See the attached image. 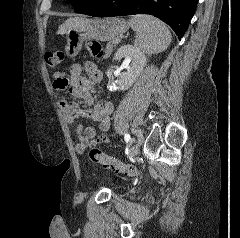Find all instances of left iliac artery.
Returning <instances> with one entry per match:
<instances>
[{"label":"left iliac artery","mask_w":240,"mask_h":238,"mask_svg":"<svg viewBox=\"0 0 240 238\" xmlns=\"http://www.w3.org/2000/svg\"><path fill=\"white\" fill-rule=\"evenodd\" d=\"M132 134H133V138H132V141H133V146L131 147L132 149L135 147V146H139L140 145V142H139V136H140V133L137 131V129H132Z\"/></svg>","instance_id":"obj_1"}]
</instances>
